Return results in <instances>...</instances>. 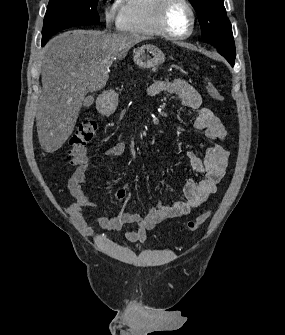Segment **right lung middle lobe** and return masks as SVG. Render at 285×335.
Returning <instances> with one entry per match:
<instances>
[{
  "label": "right lung middle lobe",
  "instance_id": "1",
  "mask_svg": "<svg viewBox=\"0 0 285 335\" xmlns=\"http://www.w3.org/2000/svg\"><path fill=\"white\" fill-rule=\"evenodd\" d=\"M97 3L98 0H50L43 23L42 42H47L65 28L98 23Z\"/></svg>",
  "mask_w": 285,
  "mask_h": 335
}]
</instances>
